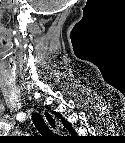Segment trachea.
Returning a JSON list of instances; mask_svg holds the SVG:
<instances>
[{
    "label": "trachea",
    "instance_id": "3493384b",
    "mask_svg": "<svg viewBox=\"0 0 125 143\" xmlns=\"http://www.w3.org/2000/svg\"><path fill=\"white\" fill-rule=\"evenodd\" d=\"M32 119L35 127L37 128L39 133H41L42 136H46V137L54 136V134L51 132V130L48 128L43 118L39 114L34 113L32 116Z\"/></svg>",
    "mask_w": 125,
    "mask_h": 143
}]
</instances>
